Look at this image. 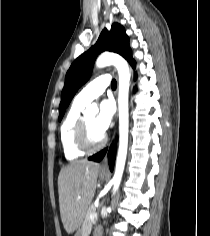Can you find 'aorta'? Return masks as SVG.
<instances>
[{"mask_svg": "<svg viewBox=\"0 0 210 236\" xmlns=\"http://www.w3.org/2000/svg\"><path fill=\"white\" fill-rule=\"evenodd\" d=\"M97 68H104L114 65L119 75V92H118V111H119V148L116 159L115 173L112 179L113 192L115 193L120 185L128 148L129 132V84L130 70L126 60L115 53H102L96 60ZM98 108L96 105H90L84 111V114H96Z\"/></svg>", "mask_w": 210, "mask_h": 236, "instance_id": "obj_1", "label": "aorta"}]
</instances>
